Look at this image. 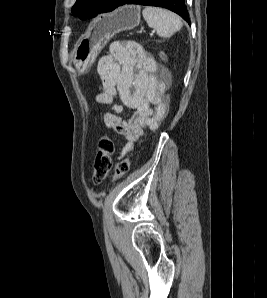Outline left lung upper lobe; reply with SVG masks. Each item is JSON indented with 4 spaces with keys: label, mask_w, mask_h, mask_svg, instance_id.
Segmentation results:
<instances>
[{
    "label": "left lung upper lobe",
    "mask_w": 267,
    "mask_h": 298,
    "mask_svg": "<svg viewBox=\"0 0 267 298\" xmlns=\"http://www.w3.org/2000/svg\"><path fill=\"white\" fill-rule=\"evenodd\" d=\"M117 0H76L72 7L74 16L86 19L102 12L112 11Z\"/></svg>",
    "instance_id": "1"
}]
</instances>
